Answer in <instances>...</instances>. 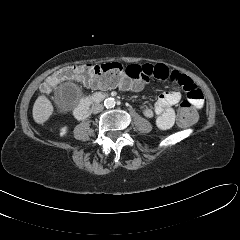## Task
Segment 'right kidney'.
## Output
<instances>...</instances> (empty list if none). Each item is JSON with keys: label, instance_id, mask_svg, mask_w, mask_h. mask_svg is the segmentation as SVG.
Listing matches in <instances>:
<instances>
[{"label": "right kidney", "instance_id": "1", "mask_svg": "<svg viewBox=\"0 0 240 240\" xmlns=\"http://www.w3.org/2000/svg\"><path fill=\"white\" fill-rule=\"evenodd\" d=\"M67 131H68V127L67 126L62 127L60 129V136L66 135Z\"/></svg>", "mask_w": 240, "mask_h": 240}]
</instances>
